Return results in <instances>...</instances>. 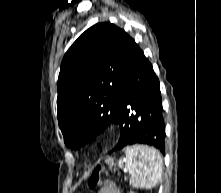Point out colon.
Wrapping results in <instances>:
<instances>
[{
	"label": "colon",
	"mask_w": 221,
	"mask_h": 193,
	"mask_svg": "<svg viewBox=\"0 0 221 193\" xmlns=\"http://www.w3.org/2000/svg\"><path fill=\"white\" fill-rule=\"evenodd\" d=\"M105 172L104 168L102 166H96L91 174L88 177L87 180V186L89 190H95L99 185L101 181V175Z\"/></svg>",
	"instance_id": "colon-1"
}]
</instances>
